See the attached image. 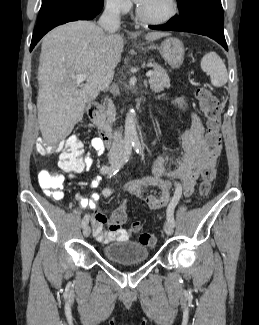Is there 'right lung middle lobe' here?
Masks as SVG:
<instances>
[{
	"label": "right lung middle lobe",
	"mask_w": 259,
	"mask_h": 325,
	"mask_svg": "<svg viewBox=\"0 0 259 325\" xmlns=\"http://www.w3.org/2000/svg\"><path fill=\"white\" fill-rule=\"evenodd\" d=\"M88 1H95V2H103V0H42V6L40 9V13L42 14L44 11L49 9L50 7L64 3V2H88Z\"/></svg>",
	"instance_id": "obj_1"
}]
</instances>
